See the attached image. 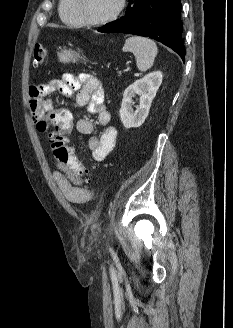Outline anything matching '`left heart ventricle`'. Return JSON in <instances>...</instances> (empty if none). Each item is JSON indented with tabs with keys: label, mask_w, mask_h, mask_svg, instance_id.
Masks as SVG:
<instances>
[{
	"label": "left heart ventricle",
	"mask_w": 233,
	"mask_h": 328,
	"mask_svg": "<svg viewBox=\"0 0 233 328\" xmlns=\"http://www.w3.org/2000/svg\"><path fill=\"white\" fill-rule=\"evenodd\" d=\"M119 0H82L85 18L93 21L110 16L117 8Z\"/></svg>",
	"instance_id": "obj_1"
}]
</instances>
